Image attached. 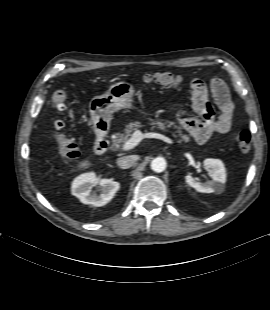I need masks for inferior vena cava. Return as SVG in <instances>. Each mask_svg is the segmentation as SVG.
<instances>
[{"instance_id": "obj_1", "label": "inferior vena cava", "mask_w": 270, "mask_h": 310, "mask_svg": "<svg viewBox=\"0 0 270 310\" xmlns=\"http://www.w3.org/2000/svg\"><path fill=\"white\" fill-rule=\"evenodd\" d=\"M135 162V157L132 155L123 156L117 159V165L122 169L130 168Z\"/></svg>"}]
</instances>
